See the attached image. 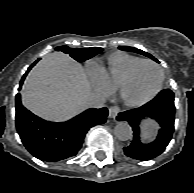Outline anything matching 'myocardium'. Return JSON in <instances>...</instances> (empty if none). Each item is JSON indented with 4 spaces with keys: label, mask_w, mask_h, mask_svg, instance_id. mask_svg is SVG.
I'll use <instances>...</instances> for the list:
<instances>
[{
    "label": "myocardium",
    "mask_w": 194,
    "mask_h": 193,
    "mask_svg": "<svg viewBox=\"0 0 194 193\" xmlns=\"http://www.w3.org/2000/svg\"><path fill=\"white\" fill-rule=\"evenodd\" d=\"M144 64H151L157 68V70L159 71V74H160L158 85H157L156 89L153 91V93L151 95H149L148 97H146L142 100H138V101L128 100L123 95V89H124L125 85L130 81V79L132 78V76L134 75L136 70ZM164 80H165V73H164L163 68L156 61H153L151 59H143V60L135 63L133 66H131L125 72V74L118 81V83L115 87V91H116L117 95L119 96L120 100L125 105L130 106V107H138V106H142L144 104L149 103L150 101H152L154 98L157 97V95L161 92V90L163 88Z\"/></svg>",
    "instance_id": "myocardium-1"
}]
</instances>
